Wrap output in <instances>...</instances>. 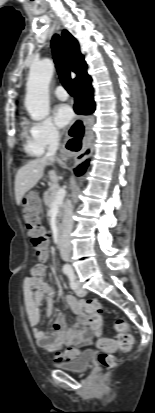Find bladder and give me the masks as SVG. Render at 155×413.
Masks as SVG:
<instances>
[{
	"label": "bladder",
	"instance_id": "1",
	"mask_svg": "<svg viewBox=\"0 0 155 413\" xmlns=\"http://www.w3.org/2000/svg\"><path fill=\"white\" fill-rule=\"evenodd\" d=\"M92 355V351L86 350L68 362L56 363L55 367L70 372L84 373L90 367Z\"/></svg>",
	"mask_w": 155,
	"mask_h": 413
}]
</instances>
